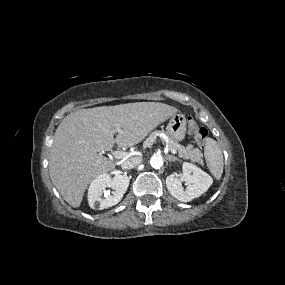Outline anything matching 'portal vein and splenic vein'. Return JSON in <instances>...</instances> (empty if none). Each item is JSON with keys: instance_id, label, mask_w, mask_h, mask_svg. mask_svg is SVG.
I'll list each match as a JSON object with an SVG mask.
<instances>
[{"instance_id": "portal-vein-and-splenic-vein-1", "label": "portal vein and splenic vein", "mask_w": 285, "mask_h": 285, "mask_svg": "<svg viewBox=\"0 0 285 285\" xmlns=\"http://www.w3.org/2000/svg\"><path fill=\"white\" fill-rule=\"evenodd\" d=\"M115 131H118L117 129H114L112 132L114 133ZM153 144V143H152ZM152 144H150V145H152ZM148 147H149V145H148ZM171 153L172 154H176L177 153V151L175 150V149H171ZM113 156H114V158H116V159H124V158H127L128 157V153L127 152H124V151H119V150H117V151H114L113 152Z\"/></svg>"}]
</instances>
